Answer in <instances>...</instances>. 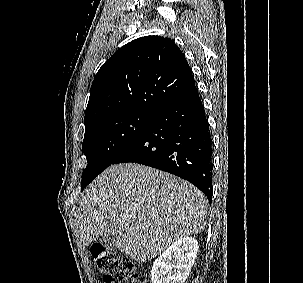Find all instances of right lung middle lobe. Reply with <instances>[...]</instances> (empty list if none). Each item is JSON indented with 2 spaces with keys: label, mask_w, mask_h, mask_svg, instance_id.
I'll use <instances>...</instances> for the list:
<instances>
[{
  "label": "right lung middle lobe",
  "mask_w": 303,
  "mask_h": 283,
  "mask_svg": "<svg viewBox=\"0 0 303 283\" xmlns=\"http://www.w3.org/2000/svg\"><path fill=\"white\" fill-rule=\"evenodd\" d=\"M155 114L138 110L122 112L85 129L82 151L88 164L82 173V191L141 135Z\"/></svg>",
  "instance_id": "dd1d6c3e"
}]
</instances>
